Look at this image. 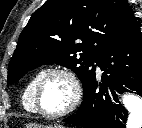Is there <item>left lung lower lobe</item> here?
Instances as JSON below:
<instances>
[{
    "label": "left lung lower lobe",
    "instance_id": "1",
    "mask_svg": "<svg viewBox=\"0 0 142 128\" xmlns=\"http://www.w3.org/2000/svg\"><path fill=\"white\" fill-rule=\"evenodd\" d=\"M104 71L102 82L95 74L83 91V101L76 114L63 121L84 128H124L126 109L117 93L135 92L142 96V33L139 27L111 46L98 60Z\"/></svg>",
    "mask_w": 142,
    "mask_h": 128
}]
</instances>
